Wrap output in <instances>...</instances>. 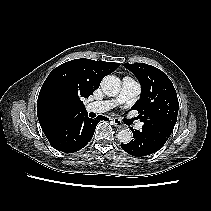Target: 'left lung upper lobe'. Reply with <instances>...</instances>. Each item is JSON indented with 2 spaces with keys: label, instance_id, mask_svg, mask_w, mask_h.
I'll return each mask as SVG.
<instances>
[{
  "label": "left lung upper lobe",
  "instance_id": "obj_1",
  "mask_svg": "<svg viewBox=\"0 0 211 211\" xmlns=\"http://www.w3.org/2000/svg\"><path fill=\"white\" fill-rule=\"evenodd\" d=\"M124 66L141 84L140 99L132 107L139 112L142 130L167 141L177 121L179 102L171 80L158 68L144 64Z\"/></svg>",
  "mask_w": 211,
  "mask_h": 211
}]
</instances>
